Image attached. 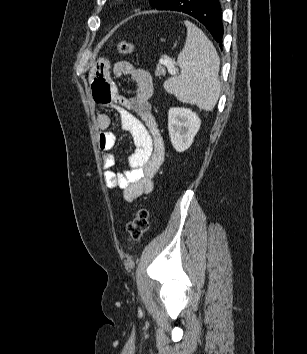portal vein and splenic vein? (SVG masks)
Returning a JSON list of instances; mask_svg holds the SVG:
<instances>
[{
	"mask_svg": "<svg viewBox=\"0 0 307 354\" xmlns=\"http://www.w3.org/2000/svg\"><path fill=\"white\" fill-rule=\"evenodd\" d=\"M159 62L168 68V71L171 75L176 74L175 68L170 61H168L166 59H160Z\"/></svg>",
	"mask_w": 307,
	"mask_h": 354,
	"instance_id": "18ae733b",
	"label": "portal vein and splenic vein"
}]
</instances>
